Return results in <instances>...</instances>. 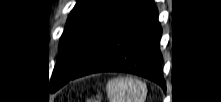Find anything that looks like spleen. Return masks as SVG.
<instances>
[{
	"label": "spleen",
	"mask_w": 221,
	"mask_h": 102,
	"mask_svg": "<svg viewBox=\"0 0 221 102\" xmlns=\"http://www.w3.org/2000/svg\"><path fill=\"white\" fill-rule=\"evenodd\" d=\"M110 102H144L147 87L144 82L130 77H118L106 85Z\"/></svg>",
	"instance_id": "1"
}]
</instances>
